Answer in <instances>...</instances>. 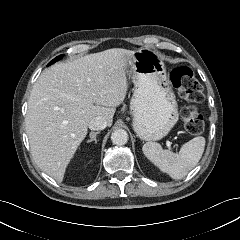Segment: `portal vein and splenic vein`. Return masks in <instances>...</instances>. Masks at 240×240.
<instances>
[{
	"label": "portal vein and splenic vein",
	"mask_w": 240,
	"mask_h": 240,
	"mask_svg": "<svg viewBox=\"0 0 240 240\" xmlns=\"http://www.w3.org/2000/svg\"><path fill=\"white\" fill-rule=\"evenodd\" d=\"M166 145H167V147L170 149L171 148V142L170 141H167L166 142Z\"/></svg>",
	"instance_id": "obj_1"
}]
</instances>
